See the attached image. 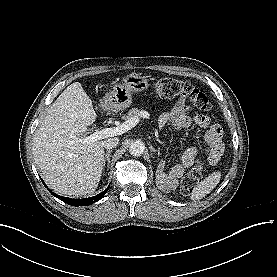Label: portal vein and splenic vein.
Returning <instances> with one entry per match:
<instances>
[{
    "label": "portal vein and splenic vein",
    "instance_id": "18ae733b",
    "mask_svg": "<svg viewBox=\"0 0 277 277\" xmlns=\"http://www.w3.org/2000/svg\"><path fill=\"white\" fill-rule=\"evenodd\" d=\"M149 113L147 111H141L139 115L134 116L133 118L128 119L127 121L123 122L119 126L113 128H106L102 130H95V132L89 136L80 139L83 142H95L100 139L121 135L128 130L135 127L138 123L140 118H149Z\"/></svg>",
    "mask_w": 277,
    "mask_h": 277
}]
</instances>
